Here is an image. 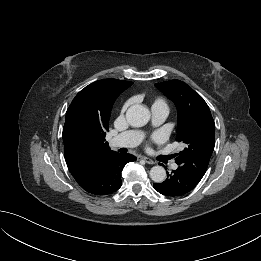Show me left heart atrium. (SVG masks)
Masks as SVG:
<instances>
[{"label":"left heart atrium","mask_w":261,"mask_h":261,"mask_svg":"<svg viewBox=\"0 0 261 261\" xmlns=\"http://www.w3.org/2000/svg\"><path fill=\"white\" fill-rule=\"evenodd\" d=\"M150 140L153 142H160L162 140V135L159 133H155L151 136Z\"/></svg>","instance_id":"obj_1"}]
</instances>
